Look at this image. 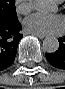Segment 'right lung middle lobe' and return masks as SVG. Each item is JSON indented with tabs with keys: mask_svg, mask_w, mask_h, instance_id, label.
<instances>
[{
	"mask_svg": "<svg viewBox=\"0 0 65 89\" xmlns=\"http://www.w3.org/2000/svg\"><path fill=\"white\" fill-rule=\"evenodd\" d=\"M15 0H0V22L17 21Z\"/></svg>",
	"mask_w": 65,
	"mask_h": 89,
	"instance_id": "1",
	"label": "right lung middle lobe"
}]
</instances>
